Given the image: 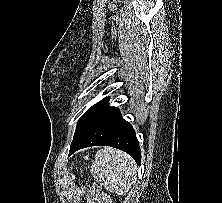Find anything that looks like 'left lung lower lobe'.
Listing matches in <instances>:
<instances>
[{"label":"left lung lower lobe","instance_id":"0a47b994","mask_svg":"<svg viewBox=\"0 0 222 203\" xmlns=\"http://www.w3.org/2000/svg\"><path fill=\"white\" fill-rule=\"evenodd\" d=\"M97 145H106L125 151L140 165L141 150L133 127L122 118L108 100L94 115L84 130L73 139L69 155L75 151Z\"/></svg>","mask_w":222,"mask_h":203}]
</instances>
